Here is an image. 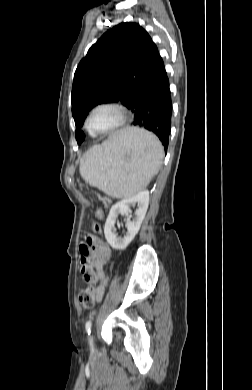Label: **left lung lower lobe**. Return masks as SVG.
Returning a JSON list of instances; mask_svg holds the SVG:
<instances>
[{
    "mask_svg": "<svg viewBox=\"0 0 252 390\" xmlns=\"http://www.w3.org/2000/svg\"><path fill=\"white\" fill-rule=\"evenodd\" d=\"M135 117L133 125L155 133L165 153L171 126L172 101L169 80L162 59L144 77L127 106Z\"/></svg>",
    "mask_w": 252,
    "mask_h": 390,
    "instance_id": "0a47b994",
    "label": "left lung lower lobe"
}]
</instances>
